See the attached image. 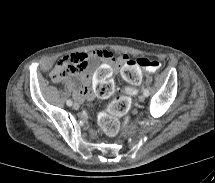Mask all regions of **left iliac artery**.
<instances>
[{"mask_svg":"<svg viewBox=\"0 0 215 183\" xmlns=\"http://www.w3.org/2000/svg\"><path fill=\"white\" fill-rule=\"evenodd\" d=\"M143 94H144L146 97H148V96H149V90H148V89H145V90L143 91Z\"/></svg>","mask_w":215,"mask_h":183,"instance_id":"left-iliac-artery-1","label":"left iliac artery"}]
</instances>
